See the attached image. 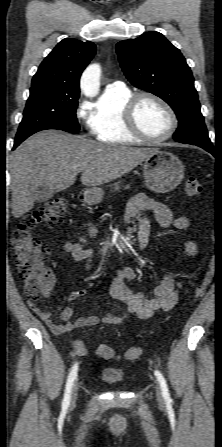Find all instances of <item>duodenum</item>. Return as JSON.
Masks as SVG:
<instances>
[{"label":"duodenum","mask_w":222,"mask_h":447,"mask_svg":"<svg viewBox=\"0 0 222 447\" xmlns=\"http://www.w3.org/2000/svg\"><path fill=\"white\" fill-rule=\"evenodd\" d=\"M90 198H91V197H90L89 195H87V194L84 195V201H85V202H88V201L90 200ZM80 240H81V241H84V240H85L84 236H81V237H80Z\"/></svg>","instance_id":"obj_1"}]
</instances>
